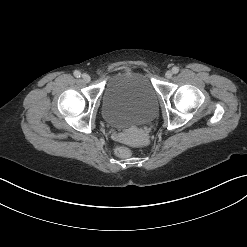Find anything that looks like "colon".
I'll return each mask as SVG.
<instances>
[{
  "label": "colon",
  "instance_id": "colon-1",
  "mask_svg": "<svg viewBox=\"0 0 247 247\" xmlns=\"http://www.w3.org/2000/svg\"><path fill=\"white\" fill-rule=\"evenodd\" d=\"M116 153L121 157H126L130 155V148L126 145H120L116 148Z\"/></svg>",
  "mask_w": 247,
  "mask_h": 247
}]
</instances>
